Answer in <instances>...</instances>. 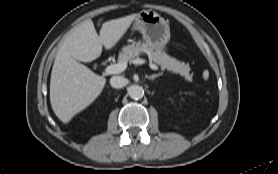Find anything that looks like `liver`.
<instances>
[{
    "label": "liver",
    "mask_w": 278,
    "mask_h": 174,
    "mask_svg": "<svg viewBox=\"0 0 278 174\" xmlns=\"http://www.w3.org/2000/svg\"><path fill=\"white\" fill-rule=\"evenodd\" d=\"M137 14L113 19L102 24L97 34L92 20L74 28L58 51L51 72L50 103L55 115L68 123L89 106L102 92L106 79L81 62L97 59L103 46L109 50L128 31Z\"/></svg>",
    "instance_id": "1"
}]
</instances>
